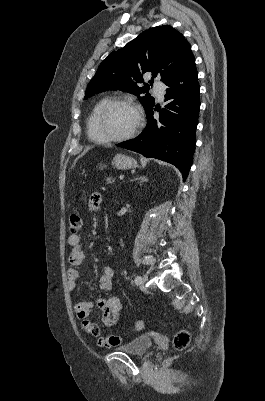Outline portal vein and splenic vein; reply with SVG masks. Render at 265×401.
Segmentation results:
<instances>
[{
  "instance_id": "18ae733b",
  "label": "portal vein and splenic vein",
  "mask_w": 265,
  "mask_h": 401,
  "mask_svg": "<svg viewBox=\"0 0 265 401\" xmlns=\"http://www.w3.org/2000/svg\"><path fill=\"white\" fill-rule=\"evenodd\" d=\"M123 178H124V175H123V174H120L119 177H118V180H119V181H122Z\"/></svg>"
}]
</instances>
